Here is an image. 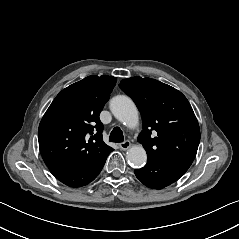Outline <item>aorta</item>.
Masks as SVG:
<instances>
[{
	"instance_id": "obj_1",
	"label": "aorta",
	"mask_w": 239,
	"mask_h": 239,
	"mask_svg": "<svg viewBox=\"0 0 239 239\" xmlns=\"http://www.w3.org/2000/svg\"><path fill=\"white\" fill-rule=\"evenodd\" d=\"M110 110L118 121L130 129L137 128L140 123L138 109L128 96L114 97L110 102ZM126 156L127 160L135 166L143 165L147 160V153L142 145L131 146Z\"/></svg>"
}]
</instances>
